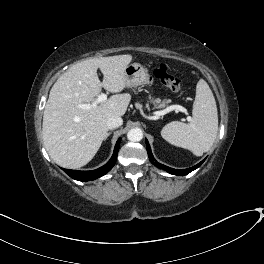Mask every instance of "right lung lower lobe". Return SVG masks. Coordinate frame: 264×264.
Returning <instances> with one entry per match:
<instances>
[{
	"label": "right lung lower lobe",
	"mask_w": 264,
	"mask_h": 264,
	"mask_svg": "<svg viewBox=\"0 0 264 264\" xmlns=\"http://www.w3.org/2000/svg\"><path fill=\"white\" fill-rule=\"evenodd\" d=\"M121 138L118 139L115 148L114 153L111 157V159L102 167L92 170V171H78V170H68L64 169V171L73 179L78 181H89V180H95L103 175H105L107 172L111 170V168L115 165L116 159H117V153L119 150Z\"/></svg>",
	"instance_id": "1"
}]
</instances>
